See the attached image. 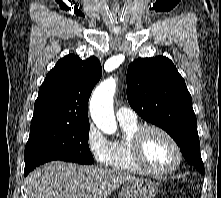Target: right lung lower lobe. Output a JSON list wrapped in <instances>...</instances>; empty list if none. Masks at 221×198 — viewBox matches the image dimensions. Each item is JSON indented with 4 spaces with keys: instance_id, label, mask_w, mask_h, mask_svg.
<instances>
[{
    "instance_id": "right-lung-lower-lobe-1",
    "label": "right lung lower lobe",
    "mask_w": 221,
    "mask_h": 198,
    "mask_svg": "<svg viewBox=\"0 0 221 198\" xmlns=\"http://www.w3.org/2000/svg\"><path fill=\"white\" fill-rule=\"evenodd\" d=\"M30 171H24V175H27Z\"/></svg>"
}]
</instances>
